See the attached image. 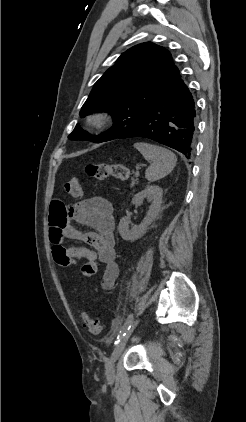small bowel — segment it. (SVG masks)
<instances>
[{
	"instance_id": "1",
	"label": "small bowel",
	"mask_w": 246,
	"mask_h": 422,
	"mask_svg": "<svg viewBox=\"0 0 246 422\" xmlns=\"http://www.w3.org/2000/svg\"><path fill=\"white\" fill-rule=\"evenodd\" d=\"M73 221L90 226L94 231L84 233L74 226ZM49 223L52 253L55 249L62 248L74 261H99L105 266L101 288L111 290L119 275V267L115 261V220L110 201L96 196L66 206L60 200H53L49 210ZM66 239L83 241L90 247H65L63 242Z\"/></svg>"
}]
</instances>
